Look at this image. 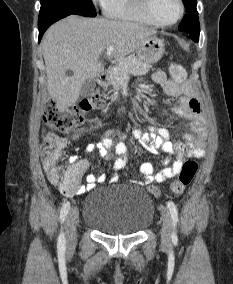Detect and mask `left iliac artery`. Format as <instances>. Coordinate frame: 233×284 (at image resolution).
<instances>
[{
	"label": "left iliac artery",
	"mask_w": 233,
	"mask_h": 284,
	"mask_svg": "<svg viewBox=\"0 0 233 284\" xmlns=\"http://www.w3.org/2000/svg\"><path fill=\"white\" fill-rule=\"evenodd\" d=\"M167 207L170 211L172 221H173L172 241L174 243H176L177 242L176 226H177V223H178V210H177L176 205L172 201H169L167 203Z\"/></svg>",
	"instance_id": "obj_1"
}]
</instances>
